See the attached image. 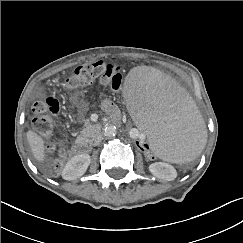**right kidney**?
<instances>
[{
    "label": "right kidney",
    "mask_w": 243,
    "mask_h": 243,
    "mask_svg": "<svg viewBox=\"0 0 243 243\" xmlns=\"http://www.w3.org/2000/svg\"><path fill=\"white\" fill-rule=\"evenodd\" d=\"M91 157L89 154H79L72 157L67 164L62 173V177L65 180H74L81 177L90 165Z\"/></svg>",
    "instance_id": "1"
}]
</instances>
